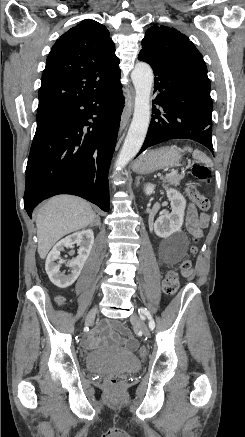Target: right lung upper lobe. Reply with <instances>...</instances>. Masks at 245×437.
I'll return each mask as SVG.
<instances>
[{
  "label": "right lung upper lobe",
  "instance_id": "right-lung-upper-lobe-1",
  "mask_svg": "<svg viewBox=\"0 0 245 437\" xmlns=\"http://www.w3.org/2000/svg\"><path fill=\"white\" fill-rule=\"evenodd\" d=\"M119 59L107 28L92 19L64 33L47 57L37 112L93 96L120 79Z\"/></svg>",
  "mask_w": 245,
  "mask_h": 437
}]
</instances>
